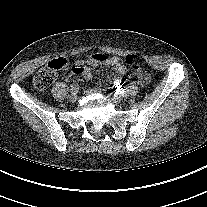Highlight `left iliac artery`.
Returning a JSON list of instances; mask_svg holds the SVG:
<instances>
[{
  "instance_id": "1",
  "label": "left iliac artery",
  "mask_w": 207,
  "mask_h": 207,
  "mask_svg": "<svg viewBox=\"0 0 207 207\" xmlns=\"http://www.w3.org/2000/svg\"><path fill=\"white\" fill-rule=\"evenodd\" d=\"M117 97L123 98L124 97V93L120 92V91H115V95Z\"/></svg>"
}]
</instances>
